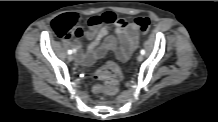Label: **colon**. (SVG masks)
Returning <instances> with one entry per match:
<instances>
[{
  "label": "colon",
  "mask_w": 218,
  "mask_h": 122,
  "mask_svg": "<svg viewBox=\"0 0 218 122\" xmlns=\"http://www.w3.org/2000/svg\"><path fill=\"white\" fill-rule=\"evenodd\" d=\"M97 15L101 14H94L93 16ZM82 23L80 16L76 14H66L57 17L53 21V29L58 36L74 40L82 35V29L80 27ZM135 25L139 33H145L150 27V19L148 17L137 18ZM121 77L120 68L112 61H108L95 72V78L104 83L103 89L108 94H115L118 91Z\"/></svg>",
  "instance_id": "colon-1"
}]
</instances>
